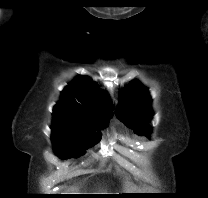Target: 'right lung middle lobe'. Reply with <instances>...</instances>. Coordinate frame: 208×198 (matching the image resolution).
Instances as JSON below:
<instances>
[{
    "mask_svg": "<svg viewBox=\"0 0 208 198\" xmlns=\"http://www.w3.org/2000/svg\"><path fill=\"white\" fill-rule=\"evenodd\" d=\"M108 121L89 122L71 117H53L52 143L55 154L65 159L83 155L86 149L99 142L100 130L107 126Z\"/></svg>",
    "mask_w": 208,
    "mask_h": 198,
    "instance_id": "1",
    "label": "right lung middle lobe"
}]
</instances>
